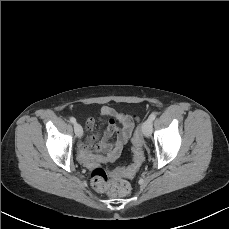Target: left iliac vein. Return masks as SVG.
<instances>
[{"label":"left iliac vein","instance_id":"4c4485c4","mask_svg":"<svg viewBox=\"0 0 229 229\" xmlns=\"http://www.w3.org/2000/svg\"><path fill=\"white\" fill-rule=\"evenodd\" d=\"M142 132L145 137H149L152 132V120L147 119L142 125Z\"/></svg>","mask_w":229,"mask_h":229}]
</instances>
